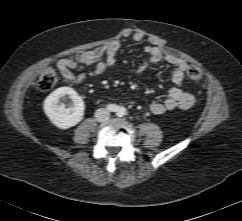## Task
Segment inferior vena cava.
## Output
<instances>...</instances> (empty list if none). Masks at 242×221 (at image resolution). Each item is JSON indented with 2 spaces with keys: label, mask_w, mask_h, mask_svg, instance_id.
Listing matches in <instances>:
<instances>
[{
  "label": "inferior vena cava",
  "mask_w": 242,
  "mask_h": 221,
  "mask_svg": "<svg viewBox=\"0 0 242 221\" xmlns=\"http://www.w3.org/2000/svg\"><path fill=\"white\" fill-rule=\"evenodd\" d=\"M109 117H110V113L107 109L100 108V109H97L95 112V118L99 122H106L108 121Z\"/></svg>",
  "instance_id": "inferior-vena-cava-1"
}]
</instances>
